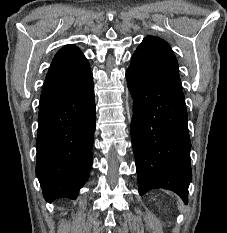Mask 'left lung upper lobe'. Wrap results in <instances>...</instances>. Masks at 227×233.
Masks as SVG:
<instances>
[{
    "instance_id": "5c2ea615",
    "label": "left lung upper lobe",
    "mask_w": 227,
    "mask_h": 233,
    "mask_svg": "<svg viewBox=\"0 0 227 233\" xmlns=\"http://www.w3.org/2000/svg\"><path fill=\"white\" fill-rule=\"evenodd\" d=\"M128 69L156 83L181 90L177 59L169 44L161 38L145 37L133 54Z\"/></svg>"
}]
</instances>
